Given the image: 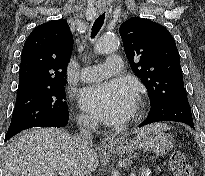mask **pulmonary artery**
<instances>
[{"mask_svg": "<svg viewBox=\"0 0 205 176\" xmlns=\"http://www.w3.org/2000/svg\"><path fill=\"white\" fill-rule=\"evenodd\" d=\"M122 63L120 56H110L103 65L84 67L81 70L80 78L84 82L97 81L110 75L120 74Z\"/></svg>", "mask_w": 205, "mask_h": 176, "instance_id": "obj_1", "label": "pulmonary artery"}]
</instances>
